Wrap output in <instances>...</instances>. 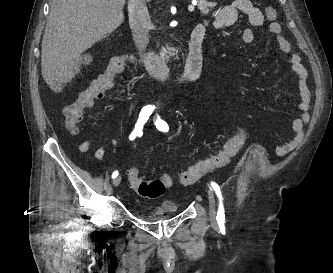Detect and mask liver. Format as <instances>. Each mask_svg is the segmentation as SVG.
Listing matches in <instances>:
<instances>
[{
  "label": "liver",
  "instance_id": "6515ba94",
  "mask_svg": "<svg viewBox=\"0 0 333 273\" xmlns=\"http://www.w3.org/2000/svg\"><path fill=\"white\" fill-rule=\"evenodd\" d=\"M151 1V0H146ZM126 0H52L44 31L41 72L55 92L88 65V48L114 32L124 21Z\"/></svg>",
  "mask_w": 333,
  "mask_h": 273
}]
</instances>
